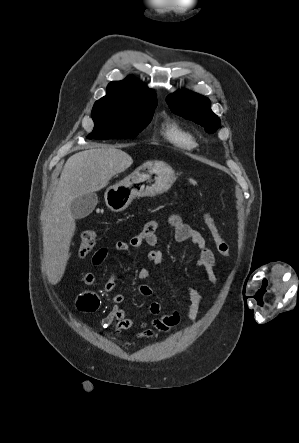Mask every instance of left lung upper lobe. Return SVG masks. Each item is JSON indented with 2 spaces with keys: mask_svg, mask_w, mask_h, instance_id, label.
Here are the masks:
<instances>
[{
  "mask_svg": "<svg viewBox=\"0 0 299 443\" xmlns=\"http://www.w3.org/2000/svg\"><path fill=\"white\" fill-rule=\"evenodd\" d=\"M166 101L174 114L203 126L209 134L220 127V119L210 109L207 97L182 90L168 95Z\"/></svg>",
  "mask_w": 299,
  "mask_h": 443,
  "instance_id": "left-lung-upper-lobe-1",
  "label": "left lung upper lobe"
}]
</instances>
